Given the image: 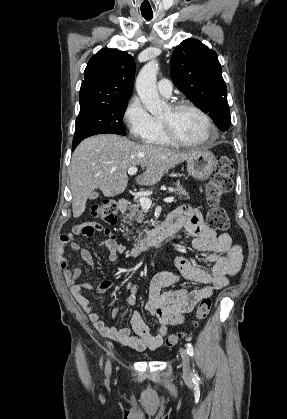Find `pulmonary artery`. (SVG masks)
I'll return each mask as SVG.
<instances>
[{"label":"pulmonary artery","mask_w":287,"mask_h":419,"mask_svg":"<svg viewBox=\"0 0 287 419\" xmlns=\"http://www.w3.org/2000/svg\"><path fill=\"white\" fill-rule=\"evenodd\" d=\"M158 91L163 96H170L172 93V84L168 79H161L157 84Z\"/></svg>","instance_id":"e3ab8cb5"}]
</instances>
